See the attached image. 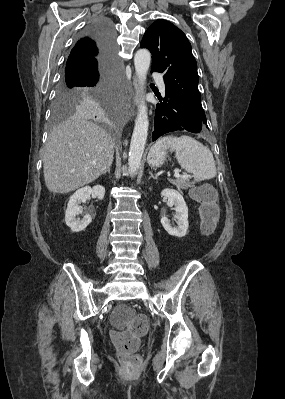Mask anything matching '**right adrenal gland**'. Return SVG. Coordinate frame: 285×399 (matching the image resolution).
Masks as SVG:
<instances>
[{"label": "right adrenal gland", "mask_w": 285, "mask_h": 399, "mask_svg": "<svg viewBox=\"0 0 285 399\" xmlns=\"http://www.w3.org/2000/svg\"><path fill=\"white\" fill-rule=\"evenodd\" d=\"M106 172H107L108 174H110V166L107 168V170L104 172V174H105Z\"/></svg>", "instance_id": "2a0ac1e0"}]
</instances>
